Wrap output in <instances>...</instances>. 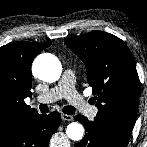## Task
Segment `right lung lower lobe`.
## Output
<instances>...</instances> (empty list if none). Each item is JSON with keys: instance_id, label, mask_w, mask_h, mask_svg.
Segmentation results:
<instances>
[{"instance_id": "1", "label": "right lung lower lobe", "mask_w": 147, "mask_h": 147, "mask_svg": "<svg viewBox=\"0 0 147 147\" xmlns=\"http://www.w3.org/2000/svg\"><path fill=\"white\" fill-rule=\"evenodd\" d=\"M60 122L61 115L58 112L37 114L0 136V147H48Z\"/></svg>"}]
</instances>
